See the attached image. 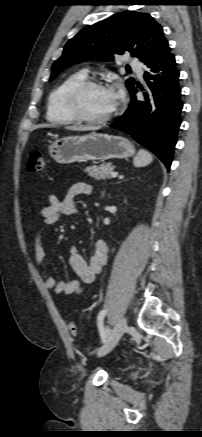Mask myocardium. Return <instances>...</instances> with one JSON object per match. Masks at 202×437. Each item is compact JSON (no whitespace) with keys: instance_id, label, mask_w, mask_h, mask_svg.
Wrapping results in <instances>:
<instances>
[{"instance_id":"myocardium-1","label":"myocardium","mask_w":202,"mask_h":437,"mask_svg":"<svg viewBox=\"0 0 202 437\" xmlns=\"http://www.w3.org/2000/svg\"><path fill=\"white\" fill-rule=\"evenodd\" d=\"M92 88H108L104 83L93 80L85 79L75 86H73L65 97V108L67 112L76 120L82 123L88 124H103L112 120L120 111L122 107V101L118 99L114 109L104 117H91L86 115L81 107V100L86 91Z\"/></svg>"}]
</instances>
